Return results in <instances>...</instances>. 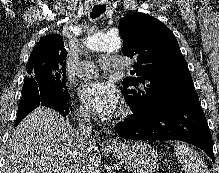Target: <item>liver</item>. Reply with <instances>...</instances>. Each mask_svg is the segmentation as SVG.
Instances as JSON below:
<instances>
[{"label": "liver", "mask_w": 219, "mask_h": 173, "mask_svg": "<svg viewBox=\"0 0 219 173\" xmlns=\"http://www.w3.org/2000/svg\"><path fill=\"white\" fill-rule=\"evenodd\" d=\"M80 158L76 132L58 112L40 105L16 127L0 173H73ZM92 173H101L97 149Z\"/></svg>", "instance_id": "6515ba94"}]
</instances>
